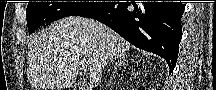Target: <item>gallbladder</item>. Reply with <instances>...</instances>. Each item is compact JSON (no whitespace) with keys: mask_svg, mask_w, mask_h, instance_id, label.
Returning <instances> with one entry per match:
<instances>
[{"mask_svg":"<svg viewBox=\"0 0 216 90\" xmlns=\"http://www.w3.org/2000/svg\"><path fill=\"white\" fill-rule=\"evenodd\" d=\"M80 90H84V86H81Z\"/></svg>","mask_w":216,"mask_h":90,"instance_id":"bac80fb5","label":"gallbladder"}]
</instances>
